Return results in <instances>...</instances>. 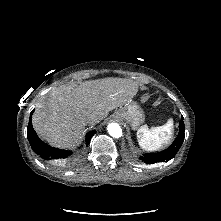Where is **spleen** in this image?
Listing matches in <instances>:
<instances>
[{"label": "spleen", "mask_w": 221, "mask_h": 221, "mask_svg": "<svg viewBox=\"0 0 221 221\" xmlns=\"http://www.w3.org/2000/svg\"><path fill=\"white\" fill-rule=\"evenodd\" d=\"M173 134V120L169 119L166 124L158 127L144 125L137 131L139 145L146 151L159 150L164 144H167Z\"/></svg>", "instance_id": "spleen-1"}]
</instances>
